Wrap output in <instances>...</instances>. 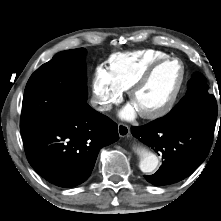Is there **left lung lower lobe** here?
I'll return each mask as SVG.
<instances>
[{"mask_svg":"<svg viewBox=\"0 0 221 221\" xmlns=\"http://www.w3.org/2000/svg\"><path fill=\"white\" fill-rule=\"evenodd\" d=\"M215 124L183 122L161 124L158 119L141 127H132V134L163 157L162 166L145 179L154 185H168L191 175L207 157Z\"/></svg>","mask_w":221,"mask_h":221,"instance_id":"obj_1","label":"left lung lower lobe"}]
</instances>
